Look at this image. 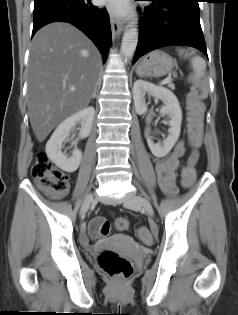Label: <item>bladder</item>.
Returning a JSON list of instances; mask_svg holds the SVG:
<instances>
[{"mask_svg":"<svg viewBox=\"0 0 238 315\" xmlns=\"http://www.w3.org/2000/svg\"><path fill=\"white\" fill-rule=\"evenodd\" d=\"M114 249H131V248H114Z\"/></svg>","mask_w":238,"mask_h":315,"instance_id":"1","label":"bladder"}]
</instances>
